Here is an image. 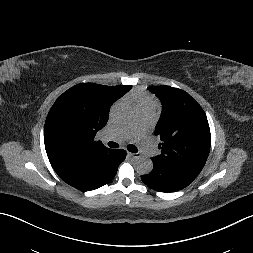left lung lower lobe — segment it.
<instances>
[{"label": "left lung lower lobe", "mask_w": 253, "mask_h": 253, "mask_svg": "<svg viewBox=\"0 0 253 253\" xmlns=\"http://www.w3.org/2000/svg\"><path fill=\"white\" fill-rule=\"evenodd\" d=\"M150 174L141 176L142 181L159 192H175L187 187L198 175L156 162Z\"/></svg>", "instance_id": "0a47b994"}]
</instances>
